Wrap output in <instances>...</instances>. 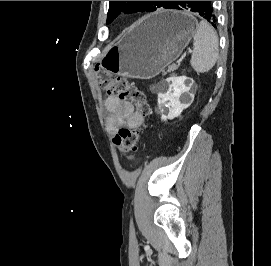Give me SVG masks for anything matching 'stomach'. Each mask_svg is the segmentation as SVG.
<instances>
[{"label": "stomach", "instance_id": "stomach-1", "mask_svg": "<svg viewBox=\"0 0 271 266\" xmlns=\"http://www.w3.org/2000/svg\"><path fill=\"white\" fill-rule=\"evenodd\" d=\"M196 26L187 11L161 10L145 16L107 47L101 66L128 78H153L180 56Z\"/></svg>", "mask_w": 271, "mask_h": 266}]
</instances>
